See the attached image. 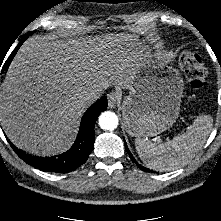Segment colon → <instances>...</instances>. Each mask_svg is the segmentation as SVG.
<instances>
[{
  "instance_id": "obj_1",
  "label": "colon",
  "mask_w": 221,
  "mask_h": 221,
  "mask_svg": "<svg viewBox=\"0 0 221 221\" xmlns=\"http://www.w3.org/2000/svg\"><path fill=\"white\" fill-rule=\"evenodd\" d=\"M179 64L193 88L199 89L204 86L206 72L201 58L197 54L188 51L182 52Z\"/></svg>"
}]
</instances>
